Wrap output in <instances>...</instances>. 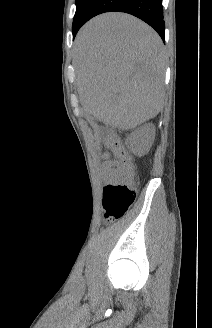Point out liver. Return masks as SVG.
I'll use <instances>...</instances> for the list:
<instances>
[{
    "mask_svg": "<svg viewBox=\"0 0 212 328\" xmlns=\"http://www.w3.org/2000/svg\"><path fill=\"white\" fill-rule=\"evenodd\" d=\"M164 57L159 35L136 17L110 12L91 19L75 40L84 110L121 130L154 118L163 107Z\"/></svg>",
    "mask_w": 212,
    "mask_h": 328,
    "instance_id": "obj_1",
    "label": "liver"
}]
</instances>
